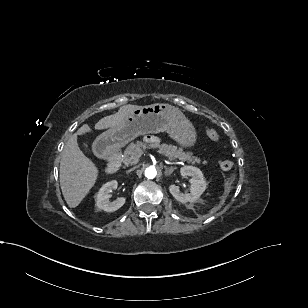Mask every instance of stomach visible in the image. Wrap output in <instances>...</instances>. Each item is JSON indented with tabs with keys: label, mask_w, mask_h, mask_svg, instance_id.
Returning <instances> with one entry per match:
<instances>
[{
	"label": "stomach",
	"mask_w": 308,
	"mask_h": 308,
	"mask_svg": "<svg viewBox=\"0 0 308 308\" xmlns=\"http://www.w3.org/2000/svg\"><path fill=\"white\" fill-rule=\"evenodd\" d=\"M167 132L182 147H192L197 140L193 124L176 107L156 103L130 113L122 123L99 135L94 148L101 153L119 148L139 135Z\"/></svg>",
	"instance_id": "obj_1"
}]
</instances>
